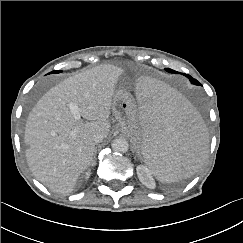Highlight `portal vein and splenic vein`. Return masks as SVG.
Wrapping results in <instances>:
<instances>
[{
  "mask_svg": "<svg viewBox=\"0 0 243 243\" xmlns=\"http://www.w3.org/2000/svg\"><path fill=\"white\" fill-rule=\"evenodd\" d=\"M69 109H70L73 117L76 120H80L81 119L80 109H79V107L76 104L70 103L69 104Z\"/></svg>",
  "mask_w": 243,
  "mask_h": 243,
  "instance_id": "obj_1",
  "label": "portal vein and splenic vein"
}]
</instances>
